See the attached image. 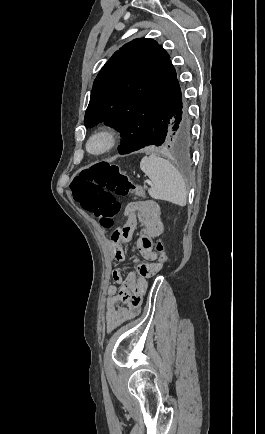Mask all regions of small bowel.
<instances>
[{"label": "small bowel", "mask_w": 265, "mask_h": 434, "mask_svg": "<svg viewBox=\"0 0 265 434\" xmlns=\"http://www.w3.org/2000/svg\"><path fill=\"white\" fill-rule=\"evenodd\" d=\"M125 229L127 235L116 239L113 235L111 244L113 255L119 263L128 260L124 246L129 241L137 226L141 234L137 240V247L142 257L147 261L156 259L153 239L159 237L164 229L161 220L160 205L154 200H142L131 202L125 209ZM134 272L125 273L123 266L113 271V284L107 286L105 325L108 332H112L128 320L140 313L144 284L142 279L154 277L156 269L139 266Z\"/></svg>", "instance_id": "small-bowel-1"}]
</instances>
